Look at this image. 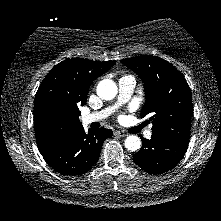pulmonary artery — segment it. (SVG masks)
<instances>
[{"instance_id": "e3ab8cb5", "label": "pulmonary artery", "mask_w": 221, "mask_h": 221, "mask_svg": "<svg viewBox=\"0 0 221 221\" xmlns=\"http://www.w3.org/2000/svg\"><path fill=\"white\" fill-rule=\"evenodd\" d=\"M136 82L134 77L132 76H123L119 79L118 86H119V96L118 102L116 105L112 107L105 108L98 112H93L82 116V122L85 125H88L93 122L101 121L107 118L112 112L116 109L117 106L127 102L133 94ZM146 138H151L152 131L149 129L145 132Z\"/></svg>"}]
</instances>
